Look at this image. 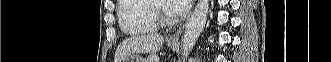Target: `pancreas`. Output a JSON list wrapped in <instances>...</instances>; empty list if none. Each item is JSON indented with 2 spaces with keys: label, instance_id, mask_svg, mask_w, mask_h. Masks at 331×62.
I'll use <instances>...</instances> for the list:
<instances>
[{
  "label": "pancreas",
  "instance_id": "1",
  "mask_svg": "<svg viewBox=\"0 0 331 62\" xmlns=\"http://www.w3.org/2000/svg\"><path fill=\"white\" fill-rule=\"evenodd\" d=\"M156 59L159 61V59L157 57H155V56H149L146 61L147 62H158V61H155Z\"/></svg>",
  "mask_w": 331,
  "mask_h": 62
}]
</instances>
